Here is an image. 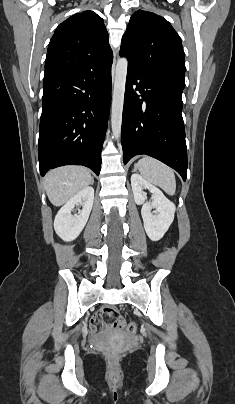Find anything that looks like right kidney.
I'll return each mask as SVG.
<instances>
[{
    "label": "right kidney",
    "mask_w": 235,
    "mask_h": 404,
    "mask_svg": "<svg viewBox=\"0 0 235 404\" xmlns=\"http://www.w3.org/2000/svg\"><path fill=\"white\" fill-rule=\"evenodd\" d=\"M94 201V189L86 187L79 191L59 210L54 220V229L64 241L76 239L86 225ZM80 204L82 209L78 215H72L75 205Z\"/></svg>",
    "instance_id": "1"
}]
</instances>
